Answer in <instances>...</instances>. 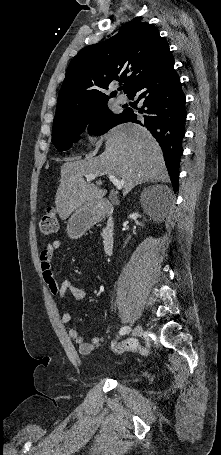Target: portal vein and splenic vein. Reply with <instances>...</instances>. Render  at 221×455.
Returning a JSON list of instances; mask_svg holds the SVG:
<instances>
[{
  "label": "portal vein and splenic vein",
  "mask_w": 221,
  "mask_h": 455,
  "mask_svg": "<svg viewBox=\"0 0 221 455\" xmlns=\"http://www.w3.org/2000/svg\"><path fill=\"white\" fill-rule=\"evenodd\" d=\"M98 176L96 174H89L86 175L87 181H91L96 179ZM109 180L113 183V185L117 188V190H121L124 187L125 181L124 179L119 180L114 175H108Z\"/></svg>",
  "instance_id": "1"
}]
</instances>
